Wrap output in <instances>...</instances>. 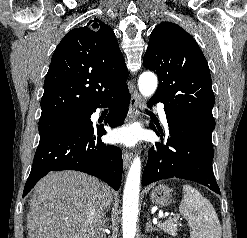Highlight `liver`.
<instances>
[{"instance_id": "6515ba94", "label": "liver", "mask_w": 247, "mask_h": 238, "mask_svg": "<svg viewBox=\"0 0 247 238\" xmlns=\"http://www.w3.org/2000/svg\"><path fill=\"white\" fill-rule=\"evenodd\" d=\"M99 181L77 171L51 172L34 188L27 215V238H90L88 205L100 189ZM106 207L112 191L102 185Z\"/></svg>"}]
</instances>
